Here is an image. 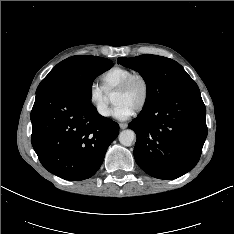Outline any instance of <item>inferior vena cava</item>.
Instances as JSON below:
<instances>
[{
    "label": "inferior vena cava",
    "instance_id": "1",
    "mask_svg": "<svg viewBox=\"0 0 234 234\" xmlns=\"http://www.w3.org/2000/svg\"><path fill=\"white\" fill-rule=\"evenodd\" d=\"M100 112H101V114H103V115H108V112H107L106 109H103V110H101Z\"/></svg>",
    "mask_w": 234,
    "mask_h": 234
}]
</instances>
